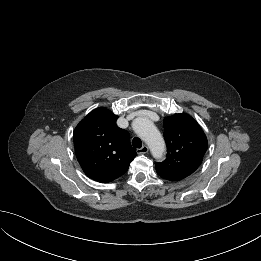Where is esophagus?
Segmentation results:
<instances>
[{"label": "esophagus", "instance_id": "obj_1", "mask_svg": "<svg viewBox=\"0 0 261 261\" xmlns=\"http://www.w3.org/2000/svg\"><path fill=\"white\" fill-rule=\"evenodd\" d=\"M149 151L148 146L144 145L141 148L137 149L138 154H146Z\"/></svg>", "mask_w": 261, "mask_h": 261}]
</instances>
